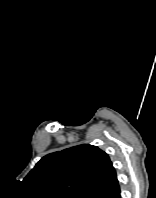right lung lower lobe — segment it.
<instances>
[{
	"instance_id": "right-lung-lower-lobe-1",
	"label": "right lung lower lobe",
	"mask_w": 156,
	"mask_h": 198,
	"mask_svg": "<svg viewBox=\"0 0 156 198\" xmlns=\"http://www.w3.org/2000/svg\"><path fill=\"white\" fill-rule=\"evenodd\" d=\"M117 198H121L120 194L117 196Z\"/></svg>"
}]
</instances>
